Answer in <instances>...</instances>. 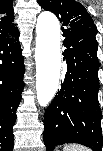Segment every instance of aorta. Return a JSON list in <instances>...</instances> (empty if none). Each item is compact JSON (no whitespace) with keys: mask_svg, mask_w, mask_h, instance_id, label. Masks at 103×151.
Wrapping results in <instances>:
<instances>
[{"mask_svg":"<svg viewBox=\"0 0 103 151\" xmlns=\"http://www.w3.org/2000/svg\"><path fill=\"white\" fill-rule=\"evenodd\" d=\"M36 93L40 106L46 107L54 98L61 69L60 24L51 12H42L36 24Z\"/></svg>","mask_w":103,"mask_h":151,"instance_id":"762f6f07","label":"aorta"}]
</instances>
